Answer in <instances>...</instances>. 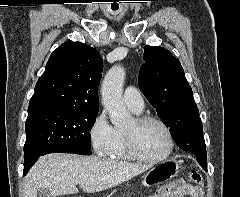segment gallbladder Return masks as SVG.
<instances>
[{
  "mask_svg": "<svg viewBox=\"0 0 240 197\" xmlns=\"http://www.w3.org/2000/svg\"><path fill=\"white\" fill-rule=\"evenodd\" d=\"M37 197H53L50 191L46 188H40L37 193Z\"/></svg>",
  "mask_w": 240,
  "mask_h": 197,
  "instance_id": "obj_1",
  "label": "gallbladder"
}]
</instances>
